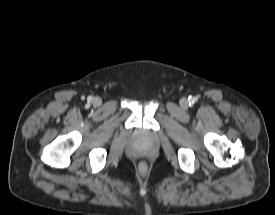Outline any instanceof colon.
<instances>
[{"label": "colon", "instance_id": "5ec220e1", "mask_svg": "<svg viewBox=\"0 0 275 215\" xmlns=\"http://www.w3.org/2000/svg\"><path fill=\"white\" fill-rule=\"evenodd\" d=\"M139 169H140L141 171H146L147 165H146L144 162H142V163L139 164Z\"/></svg>", "mask_w": 275, "mask_h": 215}]
</instances>
